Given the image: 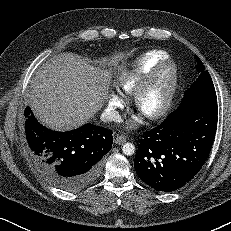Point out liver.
<instances>
[{"instance_id": "obj_1", "label": "liver", "mask_w": 231, "mask_h": 231, "mask_svg": "<svg viewBox=\"0 0 231 231\" xmlns=\"http://www.w3.org/2000/svg\"><path fill=\"white\" fill-rule=\"evenodd\" d=\"M110 72L86 58L61 53L42 64L31 83V108L39 121L56 130L86 123L107 97Z\"/></svg>"}]
</instances>
